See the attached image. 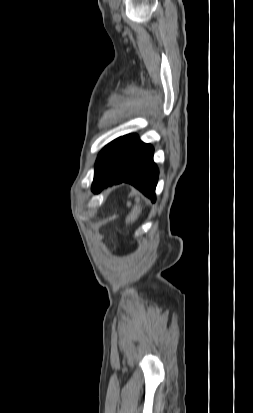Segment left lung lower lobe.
Here are the masks:
<instances>
[{
	"instance_id": "obj_1",
	"label": "left lung lower lobe",
	"mask_w": 253,
	"mask_h": 413,
	"mask_svg": "<svg viewBox=\"0 0 253 413\" xmlns=\"http://www.w3.org/2000/svg\"><path fill=\"white\" fill-rule=\"evenodd\" d=\"M154 149L135 134L122 136L106 162L95 172L94 192L108 185L127 182L155 201L158 168L153 162Z\"/></svg>"
}]
</instances>
